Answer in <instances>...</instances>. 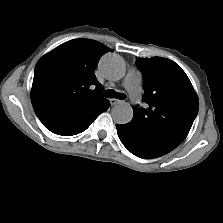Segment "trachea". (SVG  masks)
<instances>
[{
    "label": "trachea",
    "mask_w": 223,
    "mask_h": 223,
    "mask_svg": "<svg viewBox=\"0 0 223 223\" xmlns=\"http://www.w3.org/2000/svg\"><path fill=\"white\" fill-rule=\"evenodd\" d=\"M104 96L106 98H117V99H120V100H123L126 98V95L124 93H118L112 89H109L107 91H105L104 93Z\"/></svg>",
    "instance_id": "3493384b"
}]
</instances>
